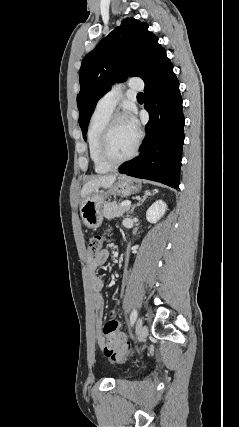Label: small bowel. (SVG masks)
I'll return each mask as SVG.
<instances>
[{
    "mask_svg": "<svg viewBox=\"0 0 239 427\" xmlns=\"http://www.w3.org/2000/svg\"><path fill=\"white\" fill-rule=\"evenodd\" d=\"M108 256L109 251L107 249H101L97 255L94 257L89 256L86 261L89 273L90 288L92 291V307L95 322L98 328L101 327L103 319L104 299L102 297V291L105 282L97 275L96 271L99 266L103 265L107 261ZM98 345L99 347L104 346V340L100 335L98 336Z\"/></svg>",
    "mask_w": 239,
    "mask_h": 427,
    "instance_id": "small-bowel-1",
    "label": "small bowel"
}]
</instances>
